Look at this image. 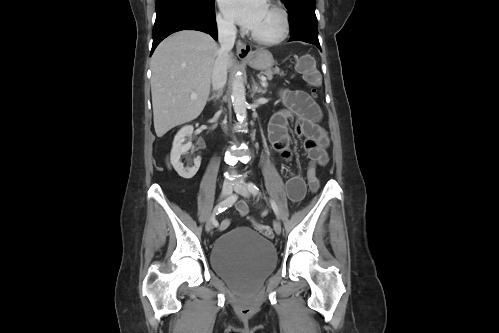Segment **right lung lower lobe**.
Wrapping results in <instances>:
<instances>
[{"label": "right lung lower lobe", "mask_w": 499, "mask_h": 333, "mask_svg": "<svg viewBox=\"0 0 499 333\" xmlns=\"http://www.w3.org/2000/svg\"><path fill=\"white\" fill-rule=\"evenodd\" d=\"M181 30H198L210 34L217 40L215 12L202 14L184 10L170 11L156 16L153 28L151 54L157 45L170 34Z\"/></svg>", "instance_id": "98d812e1"}]
</instances>
